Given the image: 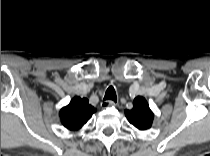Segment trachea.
<instances>
[{
    "mask_svg": "<svg viewBox=\"0 0 210 156\" xmlns=\"http://www.w3.org/2000/svg\"><path fill=\"white\" fill-rule=\"evenodd\" d=\"M104 100L117 102V96L113 86L108 87V89L106 90Z\"/></svg>",
    "mask_w": 210,
    "mask_h": 156,
    "instance_id": "trachea-1",
    "label": "trachea"
}]
</instances>
